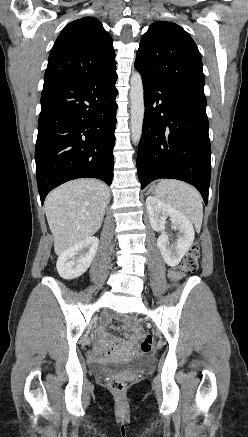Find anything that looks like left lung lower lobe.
<instances>
[{
  "label": "left lung lower lobe",
  "mask_w": 248,
  "mask_h": 437,
  "mask_svg": "<svg viewBox=\"0 0 248 437\" xmlns=\"http://www.w3.org/2000/svg\"><path fill=\"white\" fill-rule=\"evenodd\" d=\"M145 115L137 156L141 189L159 178L194 185L205 204L211 175L206 97L142 77Z\"/></svg>",
  "instance_id": "obj_1"
}]
</instances>
